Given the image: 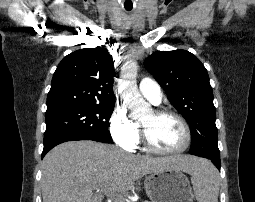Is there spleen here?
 Segmentation results:
<instances>
[{
  "label": "spleen",
  "mask_w": 255,
  "mask_h": 202,
  "mask_svg": "<svg viewBox=\"0 0 255 202\" xmlns=\"http://www.w3.org/2000/svg\"><path fill=\"white\" fill-rule=\"evenodd\" d=\"M191 183L198 202H218L219 173L208 161L199 163L191 174Z\"/></svg>",
  "instance_id": "1"
}]
</instances>
